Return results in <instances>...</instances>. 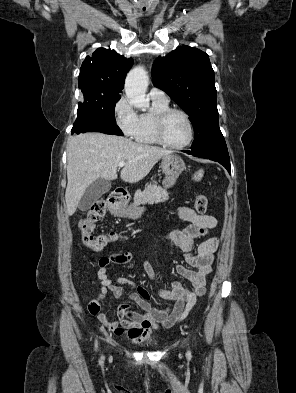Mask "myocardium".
<instances>
[{
	"mask_svg": "<svg viewBox=\"0 0 296 393\" xmlns=\"http://www.w3.org/2000/svg\"><path fill=\"white\" fill-rule=\"evenodd\" d=\"M173 114H179V115L183 116L184 119L186 120V122L188 124V128H189V137H188L187 141L184 142L183 144H180V145H174V144L169 143L166 140L165 135H164L166 121ZM155 132H156V138H157L159 144H161L162 146H164L166 148L174 149V150H180V149H184V148L188 147L194 139V126H193V122H192L190 116L185 111H183L181 109H176V108H168L165 111L161 112L157 116L156 123H155Z\"/></svg>",
	"mask_w": 296,
	"mask_h": 393,
	"instance_id": "obj_1",
	"label": "myocardium"
}]
</instances>
